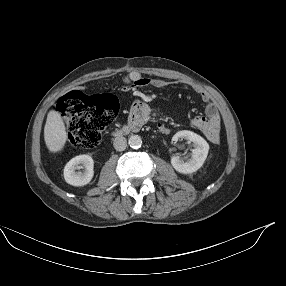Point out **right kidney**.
<instances>
[{"label": "right kidney", "mask_w": 286, "mask_h": 286, "mask_svg": "<svg viewBox=\"0 0 286 286\" xmlns=\"http://www.w3.org/2000/svg\"><path fill=\"white\" fill-rule=\"evenodd\" d=\"M83 167L84 172L76 173L75 170ZM94 161L89 155H79L72 158L64 168L65 181L73 186H84L88 184L94 176Z\"/></svg>", "instance_id": "1"}]
</instances>
